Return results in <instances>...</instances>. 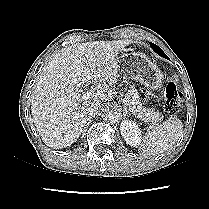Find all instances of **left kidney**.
Wrapping results in <instances>:
<instances>
[{"mask_svg": "<svg viewBox=\"0 0 209 209\" xmlns=\"http://www.w3.org/2000/svg\"><path fill=\"white\" fill-rule=\"evenodd\" d=\"M121 135L130 146L140 144L141 131L138 125L131 120H123L120 124Z\"/></svg>", "mask_w": 209, "mask_h": 209, "instance_id": "5707ae66", "label": "left kidney"}]
</instances>
